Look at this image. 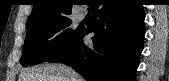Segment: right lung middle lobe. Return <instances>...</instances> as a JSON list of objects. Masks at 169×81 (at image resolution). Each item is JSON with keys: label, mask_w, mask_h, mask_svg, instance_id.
<instances>
[{"label": "right lung middle lobe", "mask_w": 169, "mask_h": 81, "mask_svg": "<svg viewBox=\"0 0 169 81\" xmlns=\"http://www.w3.org/2000/svg\"><path fill=\"white\" fill-rule=\"evenodd\" d=\"M69 16L46 19L28 24L27 34L20 63L23 66L46 62L73 40L80 31V26L73 30L69 26ZM64 29L57 40H49L56 32Z\"/></svg>", "instance_id": "dd1d6c3e"}]
</instances>
